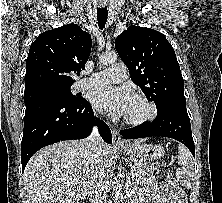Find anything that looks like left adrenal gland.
I'll return each mask as SVG.
<instances>
[{
	"instance_id": "obj_1",
	"label": "left adrenal gland",
	"mask_w": 222,
	"mask_h": 203,
	"mask_svg": "<svg viewBox=\"0 0 222 203\" xmlns=\"http://www.w3.org/2000/svg\"><path fill=\"white\" fill-rule=\"evenodd\" d=\"M127 182L128 183H131V179H130V174L128 173V175H127Z\"/></svg>"
}]
</instances>
